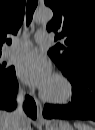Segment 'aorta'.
I'll use <instances>...</instances> for the list:
<instances>
[{
	"label": "aorta",
	"instance_id": "762f6f07",
	"mask_svg": "<svg viewBox=\"0 0 95 130\" xmlns=\"http://www.w3.org/2000/svg\"><path fill=\"white\" fill-rule=\"evenodd\" d=\"M53 17V12L48 7H41L35 11L34 20L38 23H47Z\"/></svg>",
	"mask_w": 95,
	"mask_h": 130
}]
</instances>
